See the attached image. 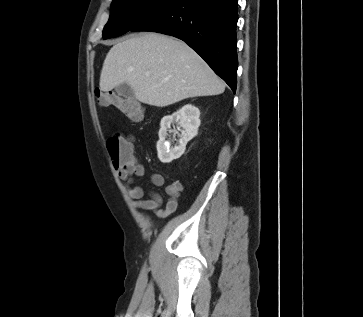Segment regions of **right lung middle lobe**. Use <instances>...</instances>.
I'll return each mask as SVG.
<instances>
[{
  "label": "right lung middle lobe",
  "mask_w": 363,
  "mask_h": 317,
  "mask_svg": "<svg viewBox=\"0 0 363 317\" xmlns=\"http://www.w3.org/2000/svg\"><path fill=\"white\" fill-rule=\"evenodd\" d=\"M177 0H113L103 39L124 34Z\"/></svg>",
  "instance_id": "obj_1"
}]
</instances>
